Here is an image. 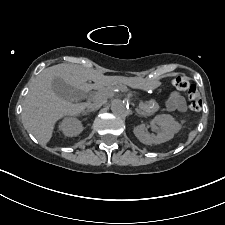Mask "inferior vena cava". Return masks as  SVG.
I'll use <instances>...</instances> for the list:
<instances>
[{
    "instance_id": "602c4592",
    "label": "inferior vena cava",
    "mask_w": 225,
    "mask_h": 225,
    "mask_svg": "<svg viewBox=\"0 0 225 225\" xmlns=\"http://www.w3.org/2000/svg\"><path fill=\"white\" fill-rule=\"evenodd\" d=\"M106 102V98L101 95H98L93 103L87 105L88 109H98Z\"/></svg>"
}]
</instances>
